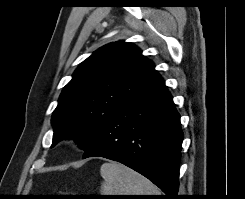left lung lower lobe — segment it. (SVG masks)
Returning <instances> with one entry per match:
<instances>
[{
  "label": "left lung lower lobe",
  "mask_w": 245,
  "mask_h": 199,
  "mask_svg": "<svg viewBox=\"0 0 245 199\" xmlns=\"http://www.w3.org/2000/svg\"><path fill=\"white\" fill-rule=\"evenodd\" d=\"M183 134L180 116L159 76L109 117L83 158L104 157L139 172L176 199Z\"/></svg>",
  "instance_id": "0a47b994"
}]
</instances>
